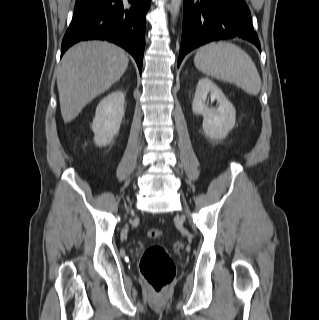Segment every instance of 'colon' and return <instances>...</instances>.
Wrapping results in <instances>:
<instances>
[{"mask_svg": "<svg viewBox=\"0 0 319 320\" xmlns=\"http://www.w3.org/2000/svg\"><path fill=\"white\" fill-rule=\"evenodd\" d=\"M147 236L156 239L162 236V231L152 228L147 231ZM140 271L149 286L151 295L160 297L174 277L175 265L166 248L154 244L144 251L140 260Z\"/></svg>", "mask_w": 319, "mask_h": 320, "instance_id": "1", "label": "colon"}]
</instances>
